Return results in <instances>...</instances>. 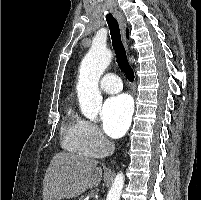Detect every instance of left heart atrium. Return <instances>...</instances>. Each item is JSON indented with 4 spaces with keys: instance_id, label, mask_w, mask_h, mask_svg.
Segmentation results:
<instances>
[{
    "instance_id": "left-heart-atrium-1",
    "label": "left heart atrium",
    "mask_w": 201,
    "mask_h": 200,
    "mask_svg": "<svg viewBox=\"0 0 201 200\" xmlns=\"http://www.w3.org/2000/svg\"><path fill=\"white\" fill-rule=\"evenodd\" d=\"M133 106L127 95L109 98L102 108L104 131L112 138L123 136L131 123Z\"/></svg>"
}]
</instances>
